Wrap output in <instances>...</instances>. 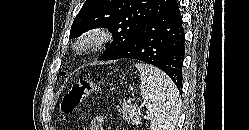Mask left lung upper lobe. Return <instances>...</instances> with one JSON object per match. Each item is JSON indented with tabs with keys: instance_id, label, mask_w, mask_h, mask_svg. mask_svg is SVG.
<instances>
[{
	"instance_id": "left-lung-upper-lobe-1",
	"label": "left lung upper lobe",
	"mask_w": 249,
	"mask_h": 130,
	"mask_svg": "<svg viewBox=\"0 0 249 130\" xmlns=\"http://www.w3.org/2000/svg\"><path fill=\"white\" fill-rule=\"evenodd\" d=\"M174 0H86L74 19L70 39L99 27L114 38L99 60H110L148 21L165 12ZM62 75L64 73H61Z\"/></svg>"
}]
</instances>
